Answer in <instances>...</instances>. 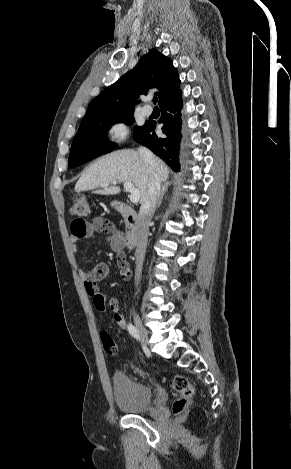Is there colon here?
Listing matches in <instances>:
<instances>
[{
	"label": "colon",
	"instance_id": "colon-1",
	"mask_svg": "<svg viewBox=\"0 0 291 469\" xmlns=\"http://www.w3.org/2000/svg\"><path fill=\"white\" fill-rule=\"evenodd\" d=\"M70 213L77 220L84 221L88 218L90 215L88 199L85 196H77L70 207ZM117 262L122 278L128 280L131 277V269L127 260L123 256H118ZM107 298V294L101 292H98L97 296L93 298L92 305L97 313H103L106 310ZM100 338L105 352L109 355H115L117 353V346L112 337L106 331H102ZM172 387L180 395L173 403V412L178 414L185 409L194 396L195 389L189 380L182 375H176L173 378Z\"/></svg>",
	"mask_w": 291,
	"mask_h": 469
}]
</instances>
